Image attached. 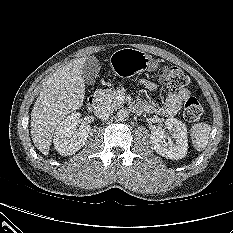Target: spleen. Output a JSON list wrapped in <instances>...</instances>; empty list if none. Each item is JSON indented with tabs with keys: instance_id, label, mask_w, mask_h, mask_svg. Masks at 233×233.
Wrapping results in <instances>:
<instances>
[{
	"instance_id": "1",
	"label": "spleen",
	"mask_w": 233,
	"mask_h": 233,
	"mask_svg": "<svg viewBox=\"0 0 233 233\" xmlns=\"http://www.w3.org/2000/svg\"><path fill=\"white\" fill-rule=\"evenodd\" d=\"M211 131V126L207 123H197L191 127L190 133L192 138L193 146L197 151H201L206 148L209 135Z\"/></svg>"
}]
</instances>
